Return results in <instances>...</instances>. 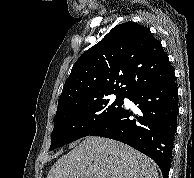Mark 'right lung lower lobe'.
<instances>
[{"label": "right lung lower lobe", "mask_w": 194, "mask_h": 178, "mask_svg": "<svg viewBox=\"0 0 194 178\" xmlns=\"http://www.w3.org/2000/svg\"><path fill=\"white\" fill-rule=\"evenodd\" d=\"M142 115L122 108L89 135L121 141L153 159L167 178L177 129L178 88L174 73L165 80L143 86L128 97Z\"/></svg>", "instance_id": "98d812e1"}]
</instances>
